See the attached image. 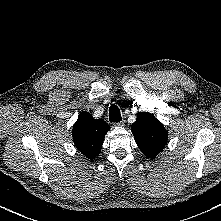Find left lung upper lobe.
<instances>
[{
	"label": "left lung upper lobe",
	"instance_id": "1",
	"mask_svg": "<svg viewBox=\"0 0 221 221\" xmlns=\"http://www.w3.org/2000/svg\"><path fill=\"white\" fill-rule=\"evenodd\" d=\"M131 131L136 144L148 158L154 159L167 144V132L163 124L151 113H138Z\"/></svg>",
	"mask_w": 221,
	"mask_h": 221
}]
</instances>
